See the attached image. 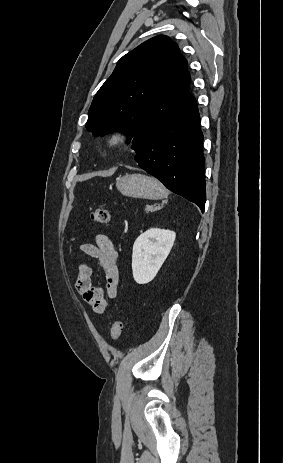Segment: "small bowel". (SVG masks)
I'll return each mask as SVG.
<instances>
[{"mask_svg":"<svg viewBox=\"0 0 283 463\" xmlns=\"http://www.w3.org/2000/svg\"><path fill=\"white\" fill-rule=\"evenodd\" d=\"M80 250L95 259L97 266L104 270L105 285H92L93 269L87 263H81L78 267L75 290L96 313H103L108 301L117 296L120 280L118 253L113 242L104 234H98L93 244H82Z\"/></svg>","mask_w":283,"mask_h":463,"instance_id":"1","label":"small bowel"}]
</instances>
